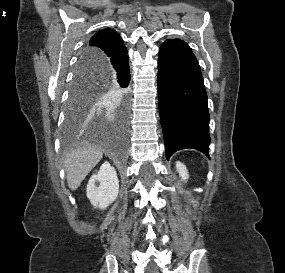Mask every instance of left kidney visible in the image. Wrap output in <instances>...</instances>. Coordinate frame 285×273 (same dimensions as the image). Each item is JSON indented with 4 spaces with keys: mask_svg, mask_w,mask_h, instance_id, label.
<instances>
[{
    "mask_svg": "<svg viewBox=\"0 0 285 273\" xmlns=\"http://www.w3.org/2000/svg\"><path fill=\"white\" fill-rule=\"evenodd\" d=\"M176 169H177V172L179 173V176L182 178V180L188 179L189 177L188 171L184 164L178 161L176 163Z\"/></svg>",
    "mask_w": 285,
    "mask_h": 273,
    "instance_id": "1",
    "label": "left kidney"
}]
</instances>
